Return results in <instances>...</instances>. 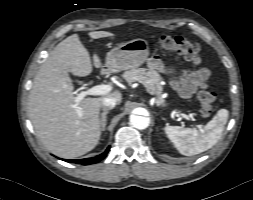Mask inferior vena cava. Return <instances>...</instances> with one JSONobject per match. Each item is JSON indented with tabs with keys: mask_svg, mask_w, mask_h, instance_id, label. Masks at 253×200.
<instances>
[{
	"mask_svg": "<svg viewBox=\"0 0 253 200\" xmlns=\"http://www.w3.org/2000/svg\"><path fill=\"white\" fill-rule=\"evenodd\" d=\"M117 104V100L114 98V97H105L103 100H102V103H101V108L103 110H110L112 108H114Z\"/></svg>",
	"mask_w": 253,
	"mask_h": 200,
	"instance_id": "602c4592",
	"label": "inferior vena cava"
}]
</instances>
